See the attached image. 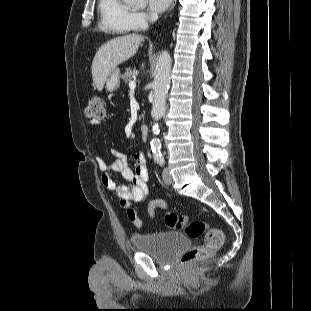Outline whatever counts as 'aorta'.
I'll return each mask as SVG.
<instances>
[{
    "label": "aorta",
    "instance_id": "1",
    "mask_svg": "<svg viewBox=\"0 0 311 311\" xmlns=\"http://www.w3.org/2000/svg\"><path fill=\"white\" fill-rule=\"evenodd\" d=\"M126 3L134 5H143L145 0H123ZM172 59L168 51H162L158 57L156 68H155V79H154V100L152 104L151 117L155 121L153 125L154 137L151 140V149L155 159L161 158V142L157 138L160 132L158 123L159 119L163 117L166 111V95L168 93L170 85Z\"/></svg>",
    "mask_w": 311,
    "mask_h": 311
}]
</instances>
